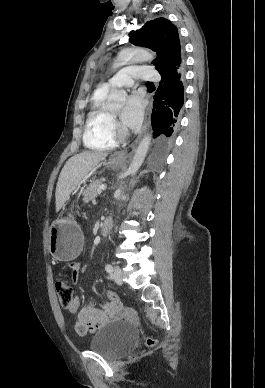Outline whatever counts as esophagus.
Returning <instances> with one entry per match:
<instances>
[{
    "instance_id": "obj_1",
    "label": "esophagus",
    "mask_w": 265,
    "mask_h": 388,
    "mask_svg": "<svg viewBox=\"0 0 265 388\" xmlns=\"http://www.w3.org/2000/svg\"><path fill=\"white\" fill-rule=\"evenodd\" d=\"M150 118H151V108H149L146 113H145V119H144V123H143V127H142V130L141 132L139 133L138 135V138L137 140H135L134 143H132L131 145H129V147L127 148H124V150H121L120 152H117L115 154V156L117 158H119L120 160H122L123 162H127L130 158H132L133 156V153L136 149V146H137V143L139 141V139L142 137V135L145 133L147 127L149 126L150 124Z\"/></svg>"
}]
</instances>
